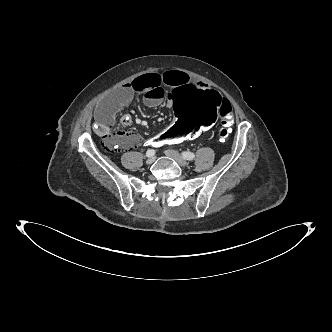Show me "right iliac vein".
<instances>
[{
  "label": "right iliac vein",
  "instance_id": "obj_1",
  "mask_svg": "<svg viewBox=\"0 0 332 332\" xmlns=\"http://www.w3.org/2000/svg\"><path fill=\"white\" fill-rule=\"evenodd\" d=\"M155 161V156H151V157H148V159L146 160V163L151 165L152 163H154Z\"/></svg>",
  "mask_w": 332,
  "mask_h": 332
}]
</instances>
